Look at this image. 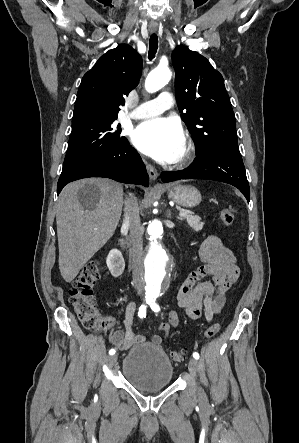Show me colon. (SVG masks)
<instances>
[{
  "instance_id": "1",
  "label": "colon",
  "mask_w": 299,
  "mask_h": 443,
  "mask_svg": "<svg viewBox=\"0 0 299 443\" xmlns=\"http://www.w3.org/2000/svg\"><path fill=\"white\" fill-rule=\"evenodd\" d=\"M220 218L226 226H231L234 222V214L230 209H223ZM100 278V263L97 260H90L84 265L69 290L70 304L73 310L82 325L90 330H107L112 325V321L100 314L95 305L93 287ZM219 329L220 324L214 323L206 330L205 336L212 338ZM185 353V349H179L172 351L170 356L174 361H181Z\"/></svg>"
}]
</instances>
